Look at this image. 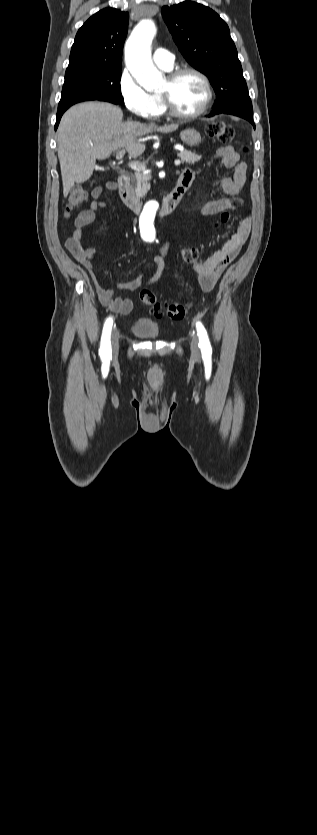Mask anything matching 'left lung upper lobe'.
<instances>
[{"instance_id": "5c2ea615", "label": "left lung upper lobe", "mask_w": 317, "mask_h": 835, "mask_svg": "<svg viewBox=\"0 0 317 835\" xmlns=\"http://www.w3.org/2000/svg\"><path fill=\"white\" fill-rule=\"evenodd\" d=\"M175 43L190 65L204 73L216 93L214 110L253 114L235 44L223 19L212 9L185 1L162 8Z\"/></svg>"}]
</instances>
